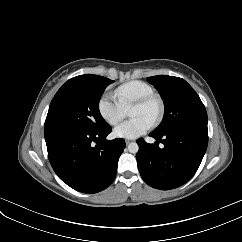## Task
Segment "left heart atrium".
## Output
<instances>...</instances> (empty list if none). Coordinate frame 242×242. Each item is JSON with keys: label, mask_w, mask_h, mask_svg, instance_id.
<instances>
[{"label": "left heart atrium", "mask_w": 242, "mask_h": 242, "mask_svg": "<svg viewBox=\"0 0 242 242\" xmlns=\"http://www.w3.org/2000/svg\"><path fill=\"white\" fill-rule=\"evenodd\" d=\"M150 128V122L141 117H135L116 126L113 133L119 138L135 139L146 133Z\"/></svg>", "instance_id": "left-heart-atrium-1"}]
</instances>
